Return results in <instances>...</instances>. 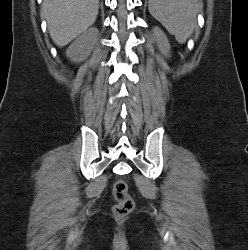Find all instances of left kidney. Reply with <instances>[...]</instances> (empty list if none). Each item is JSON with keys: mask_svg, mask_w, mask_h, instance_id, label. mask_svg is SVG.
<instances>
[{"mask_svg": "<svg viewBox=\"0 0 248 250\" xmlns=\"http://www.w3.org/2000/svg\"><path fill=\"white\" fill-rule=\"evenodd\" d=\"M153 34L160 52L165 57H168L170 55V44L166 35L159 27H155L153 29Z\"/></svg>", "mask_w": 248, "mask_h": 250, "instance_id": "obj_1", "label": "left kidney"}]
</instances>
